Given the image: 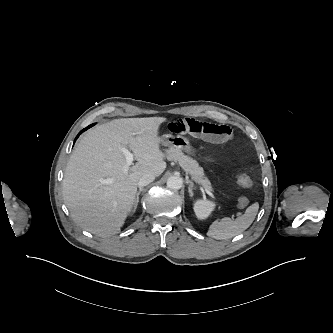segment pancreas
<instances>
[{
    "mask_svg": "<svg viewBox=\"0 0 333 333\" xmlns=\"http://www.w3.org/2000/svg\"><path fill=\"white\" fill-rule=\"evenodd\" d=\"M166 157L168 160L178 162L186 173L191 175V179L201 185L204 189L213 191L209 179L205 177L204 170L199 166L197 161L184 155L182 151L175 148H169L166 150Z\"/></svg>",
    "mask_w": 333,
    "mask_h": 333,
    "instance_id": "1",
    "label": "pancreas"
}]
</instances>
